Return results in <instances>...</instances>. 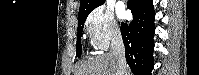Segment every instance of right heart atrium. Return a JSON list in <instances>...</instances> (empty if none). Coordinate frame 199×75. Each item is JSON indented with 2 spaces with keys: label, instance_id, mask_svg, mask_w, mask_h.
Here are the masks:
<instances>
[{
  "label": "right heart atrium",
  "instance_id": "obj_1",
  "mask_svg": "<svg viewBox=\"0 0 199 75\" xmlns=\"http://www.w3.org/2000/svg\"><path fill=\"white\" fill-rule=\"evenodd\" d=\"M85 30L91 45L98 50L107 49L121 37L119 25L113 13L105 7L94 9L85 21Z\"/></svg>",
  "mask_w": 199,
  "mask_h": 75
}]
</instances>
